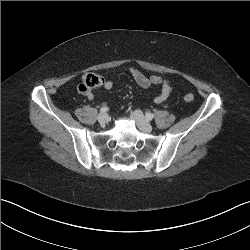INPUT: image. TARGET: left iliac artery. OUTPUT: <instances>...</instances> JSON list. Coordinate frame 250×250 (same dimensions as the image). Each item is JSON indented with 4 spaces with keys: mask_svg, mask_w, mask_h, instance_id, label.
<instances>
[{
    "mask_svg": "<svg viewBox=\"0 0 250 250\" xmlns=\"http://www.w3.org/2000/svg\"><path fill=\"white\" fill-rule=\"evenodd\" d=\"M146 118L148 120H152L154 118V114L153 113H146Z\"/></svg>",
    "mask_w": 250,
    "mask_h": 250,
    "instance_id": "obj_1",
    "label": "left iliac artery"
}]
</instances>
